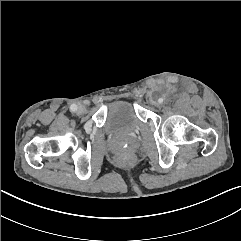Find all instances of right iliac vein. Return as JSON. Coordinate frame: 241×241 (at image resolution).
<instances>
[{
  "label": "right iliac vein",
  "instance_id": "right-iliac-vein-1",
  "mask_svg": "<svg viewBox=\"0 0 241 241\" xmlns=\"http://www.w3.org/2000/svg\"><path fill=\"white\" fill-rule=\"evenodd\" d=\"M86 107L85 106H83V105H80L79 107H78V109H77V113L78 114H83V113H85L86 112Z\"/></svg>",
  "mask_w": 241,
  "mask_h": 241
}]
</instances>
